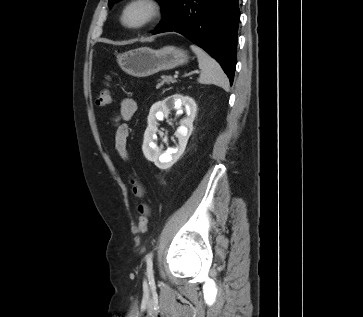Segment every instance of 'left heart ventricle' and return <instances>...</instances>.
Returning a JSON list of instances; mask_svg holds the SVG:
<instances>
[{"label": "left heart ventricle", "instance_id": "1", "mask_svg": "<svg viewBox=\"0 0 363 317\" xmlns=\"http://www.w3.org/2000/svg\"><path fill=\"white\" fill-rule=\"evenodd\" d=\"M144 15V10L141 7H135L130 10L127 16V21L129 23H135L139 21Z\"/></svg>", "mask_w": 363, "mask_h": 317}]
</instances>
